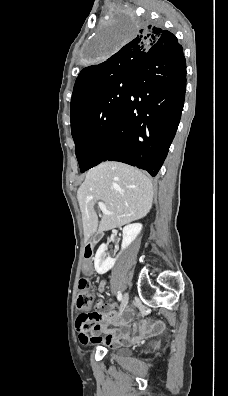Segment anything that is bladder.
<instances>
[{
	"instance_id": "1",
	"label": "bladder",
	"mask_w": 228,
	"mask_h": 396,
	"mask_svg": "<svg viewBox=\"0 0 228 396\" xmlns=\"http://www.w3.org/2000/svg\"><path fill=\"white\" fill-rule=\"evenodd\" d=\"M113 352L119 357H129L132 354L131 350L127 347L116 348Z\"/></svg>"
}]
</instances>
